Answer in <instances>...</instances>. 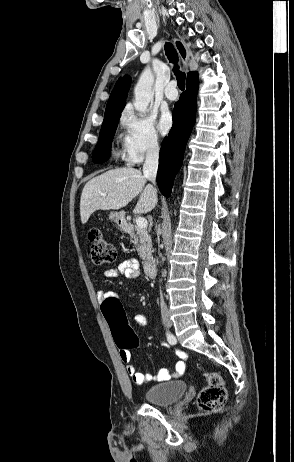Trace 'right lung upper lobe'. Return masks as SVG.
Masks as SVG:
<instances>
[{"label": "right lung upper lobe", "mask_w": 294, "mask_h": 462, "mask_svg": "<svg viewBox=\"0 0 294 462\" xmlns=\"http://www.w3.org/2000/svg\"><path fill=\"white\" fill-rule=\"evenodd\" d=\"M197 75L196 73L189 72L187 79ZM131 79L128 76L119 78L115 84L108 99L104 118L120 114L125 105L126 95L130 88Z\"/></svg>", "instance_id": "right-lung-upper-lobe-1"}]
</instances>
